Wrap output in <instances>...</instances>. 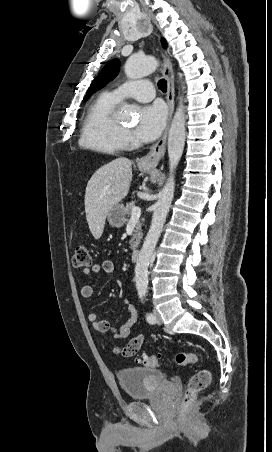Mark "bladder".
Instances as JSON below:
<instances>
[{"label":"bladder","mask_w":272,"mask_h":452,"mask_svg":"<svg viewBox=\"0 0 272 452\" xmlns=\"http://www.w3.org/2000/svg\"><path fill=\"white\" fill-rule=\"evenodd\" d=\"M117 377L121 388L130 399L151 396L167 382L165 374L153 368H122L117 372Z\"/></svg>","instance_id":"1"}]
</instances>
